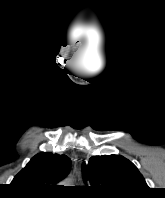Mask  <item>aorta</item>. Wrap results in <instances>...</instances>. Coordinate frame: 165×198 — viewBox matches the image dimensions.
<instances>
[{
  "mask_svg": "<svg viewBox=\"0 0 165 198\" xmlns=\"http://www.w3.org/2000/svg\"><path fill=\"white\" fill-rule=\"evenodd\" d=\"M65 183H66V184H69V183H70V181H69V180H67Z\"/></svg>",
  "mask_w": 165,
  "mask_h": 198,
  "instance_id": "762f6f07",
  "label": "aorta"
}]
</instances>
